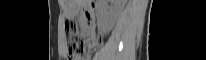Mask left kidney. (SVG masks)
Instances as JSON below:
<instances>
[{
    "label": "left kidney",
    "mask_w": 206,
    "mask_h": 60,
    "mask_svg": "<svg viewBox=\"0 0 206 60\" xmlns=\"http://www.w3.org/2000/svg\"><path fill=\"white\" fill-rule=\"evenodd\" d=\"M124 2V0H115V5L110 11L106 9L105 2L102 3L98 13V20L105 32H109L112 28L117 16L123 8Z\"/></svg>",
    "instance_id": "5707ae66"
}]
</instances>
